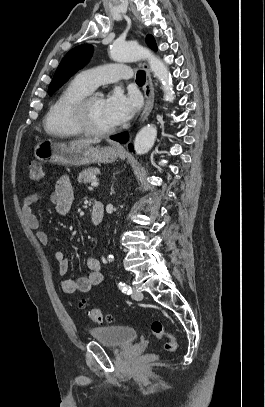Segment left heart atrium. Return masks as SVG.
Segmentation results:
<instances>
[{
	"mask_svg": "<svg viewBox=\"0 0 265 407\" xmlns=\"http://www.w3.org/2000/svg\"><path fill=\"white\" fill-rule=\"evenodd\" d=\"M140 102L136 95L126 96L121 91L112 92L104 100V108L113 126L121 125L130 120L139 109Z\"/></svg>",
	"mask_w": 265,
	"mask_h": 407,
	"instance_id": "left-heart-atrium-1",
	"label": "left heart atrium"
}]
</instances>
